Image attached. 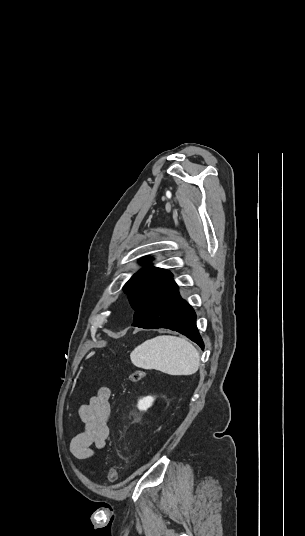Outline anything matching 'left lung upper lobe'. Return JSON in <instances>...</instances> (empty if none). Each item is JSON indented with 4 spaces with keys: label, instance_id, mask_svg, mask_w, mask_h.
Segmentation results:
<instances>
[{
    "label": "left lung upper lobe",
    "instance_id": "1",
    "mask_svg": "<svg viewBox=\"0 0 305 536\" xmlns=\"http://www.w3.org/2000/svg\"><path fill=\"white\" fill-rule=\"evenodd\" d=\"M151 259V257H145L140 262L147 264ZM171 282L173 278L168 270L147 266L134 274L123 289L128 295L132 308L137 310L147 299Z\"/></svg>",
    "mask_w": 305,
    "mask_h": 536
}]
</instances>
